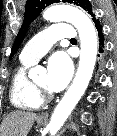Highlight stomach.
Returning a JSON list of instances; mask_svg holds the SVG:
<instances>
[{
    "label": "stomach",
    "instance_id": "1",
    "mask_svg": "<svg viewBox=\"0 0 117 136\" xmlns=\"http://www.w3.org/2000/svg\"><path fill=\"white\" fill-rule=\"evenodd\" d=\"M44 122H45V121H44L43 119H41V118H38V119H37V123L40 124V125L43 124Z\"/></svg>",
    "mask_w": 117,
    "mask_h": 136
}]
</instances>
